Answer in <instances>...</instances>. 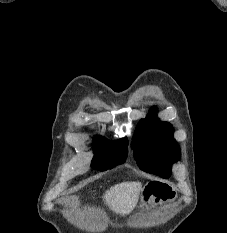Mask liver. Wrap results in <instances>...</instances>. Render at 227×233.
I'll list each match as a JSON object with an SVG mask.
<instances>
[{
	"label": "liver",
	"instance_id": "liver-1",
	"mask_svg": "<svg viewBox=\"0 0 227 233\" xmlns=\"http://www.w3.org/2000/svg\"><path fill=\"white\" fill-rule=\"evenodd\" d=\"M141 191V182H122L107 190L103 198L113 212L124 216L135 208Z\"/></svg>",
	"mask_w": 227,
	"mask_h": 233
}]
</instances>
